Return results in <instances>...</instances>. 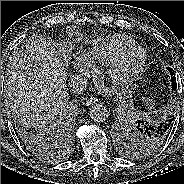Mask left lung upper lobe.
Returning a JSON list of instances; mask_svg holds the SVG:
<instances>
[{
	"label": "left lung upper lobe",
	"mask_w": 184,
	"mask_h": 184,
	"mask_svg": "<svg viewBox=\"0 0 184 184\" xmlns=\"http://www.w3.org/2000/svg\"><path fill=\"white\" fill-rule=\"evenodd\" d=\"M147 124L143 121L136 122L132 127L133 150L136 152L148 153L160 146L166 138L160 137L153 131L146 129Z\"/></svg>",
	"instance_id": "1"
}]
</instances>
